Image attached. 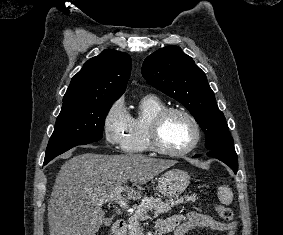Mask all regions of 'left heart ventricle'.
Masks as SVG:
<instances>
[{"label": "left heart ventricle", "mask_w": 283, "mask_h": 235, "mask_svg": "<svg viewBox=\"0 0 283 235\" xmlns=\"http://www.w3.org/2000/svg\"><path fill=\"white\" fill-rule=\"evenodd\" d=\"M194 137L190 121L182 114H170L162 123L159 133L161 145L172 151L187 147Z\"/></svg>", "instance_id": "obj_1"}]
</instances>
